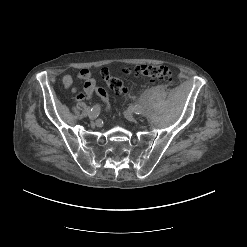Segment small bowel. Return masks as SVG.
<instances>
[{
    "label": "small bowel",
    "instance_id": "obj_1",
    "mask_svg": "<svg viewBox=\"0 0 247 247\" xmlns=\"http://www.w3.org/2000/svg\"><path fill=\"white\" fill-rule=\"evenodd\" d=\"M77 78L83 84V92L76 95L78 101L89 99L96 89V81L92 73L88 69H81ZM62 84L66 89H71L72 92H76V88L72 87L73 77L71 75H65L62 78Z\"/></svg>",
    "mask_w": 247,
    "mask_h": 247
}]
</instances>
